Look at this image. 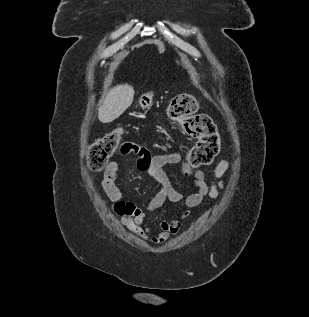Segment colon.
Instances as JSON below:
<instances>
[{
	"label": "colon",
	"mask_w": 309,
	"mask_h": 317,
	"mask_svg": "<svg viewBox=\"0 0 309 317\" xmlns=\"http://www.w3.org/2000/svg\"><path fill=\"white\" fill-rule=\"evenodd\" d=\"M200 107L198 99L191 94H180L168 105V116L178 122L182 128L196 139L195 145L188 151L183 170L196 169L209 165L218 155L220 136L212 119L205 114H197ZM122 129L117 128L105 134L89 145L87 165L93 171H101L117 150ZM131 144L121 146L122 152L128 151Z\"/></svg>",
	"instance_id": "5ec220e1"
}]
</instances>
